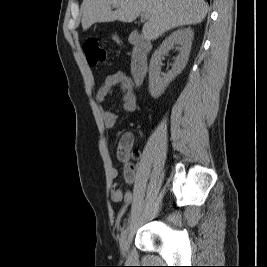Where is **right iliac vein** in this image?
I'll list each match as a JSON object with an SVG mask.
<instances>
[{
    "mask_svg": "<svg viewBox=\"0 0 267 267\" xmlns=\"http://www.w3.org/2000/svg\"><path fill=\"white\" fill-rule=\"evenodd\" d=\"M128 248H129V238L125 237L121 240L120 243L121 254L123 257L127 255Z\"/></svg>",
    "mask_w": 267,
    "mask_h": 267,
    "instance_id": "right-iliac-vein-1",
    "label": "right iliac vein"
}]
</instances>
